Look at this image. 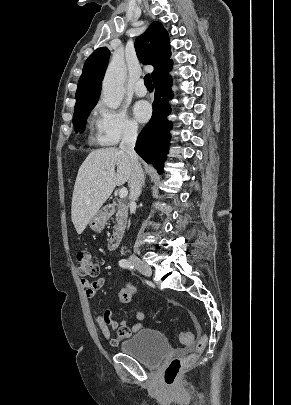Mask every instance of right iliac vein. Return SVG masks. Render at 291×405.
Wrapping results in <instances>:
<instances>
[{
	"label": "right iliac vein",
	"mask_w": 291,
	"mask_h": 405,
	"mask_svg": "<svg viewBox=\"0 0 291 405\" xmlns=\"http://www.w3.org/2000/svg\"><path fill=\"white\" fill-rule=\"evenodd\" d=\"M133 264L136 266V268L144 275L146 276H151L152 270L149 265L144 263L143 261L136 259L133 261Z\"/></svg>",
	"instance_id": "1"
}]
</instances>
